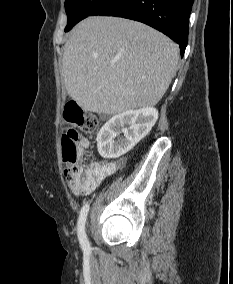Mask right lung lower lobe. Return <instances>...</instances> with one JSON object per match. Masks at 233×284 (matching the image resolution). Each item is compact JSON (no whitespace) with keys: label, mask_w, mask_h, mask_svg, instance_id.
<instances>
[{"label":"right lung lower lobe","mask_w":233,"mask_h":284,"mask_svg":"<svg viewBox=\"0 0 233 284\" xmlns=\"http://www.w3.org/2000/svg\"><path fill=\"white\" fill-rule=\"evenodd\" d=\"M193 1L107 0L90 16H117L143 22L176 41L183 57L188 42V24Z\"/></svg>","instance_id":"right-lung-lower-lobe-1"}]
</instances>
